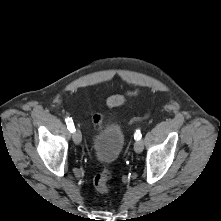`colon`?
<instances>
[{
    "instance_id": "5ec220e1",
    "label": "colon",
    "mask_w": 221,
    "mask_h": 221,
    "mask_svg": "<svg viewBox=\"0 0 221 221\" xmlns=\"http://www.w3.org/2000/svg\"><path fill=\"white\" fill-rule=\"evenodd\" d=\"M149 117V114L144 115L143 118H137L134 119L131 123H137L142 121L143 119H146ZM104 121V117L101 114H96L93 117V123L96 129H100L102 126V123ZM111 171L108 168H103L95 177L93 180L94 187L97 192L101 194H106L110 190V180H111Z\"/></svg>"
}]
</instances>
